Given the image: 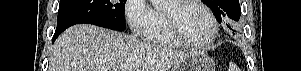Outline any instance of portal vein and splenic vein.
Returning a JSON list of instances; mask_svg holds the SVG:
<instances>
[{
    "label": "portal vein and splenic vein",
    "mask_w": 301,
    "mask_h": 71,
    "mask_svg": "<svg viewBox=\"0 0 301 71\" xmlns=\"http://www.w3.org/2000/svg\"><path fill=\"white\" fill-rule=\"evenodd\" d=\"M130 66L129 65H125L122 67V69H128Z\"/></svg>",
    "instance_id": "portal-vein-and-splenic-vein-1"
}]
</instances>
